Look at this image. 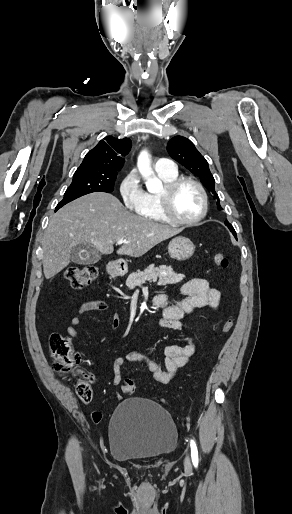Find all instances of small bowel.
<instances>
[{
	"mask_svg": "<svg viewBox=\"0 0 292 514\" xmlns=\"http://www.w3.org/2000/svg\"><path fill=\"white\" fill-rule=\"evenodd\" d=\"M181 293L187 296V299L179 304L169 305L162 308V317L159 320V326L170 330L188 331L189 326L183 321L184 317L201 307H208L212 312H216L220 305V293L217 289L211 287L209 283L201 278H193L185 282L181 287ZM108 304L104 300L94 299L84 302L78 309L77 315L74 316L70 325L66 328V333L71 338H78L80 332L77 327L82 323V316L88 312H106ZM119 317L115 316L113 327L119 325ZM196 346L192 337L188 338L185 345L169 344L165 347V367L159 363L144 359L139 354L132 352L124 357H117L113 361L112 369L114 373L113 384L120 385L122 382V370L126 361H136L142 363L147 369L150 377L156 383L166 385L170 383L178 369L186 366L191 356L195 353ZM115 398L120 402L125 400L123 395L118 391L113 393Z\"/></svg>",
	"mask_w": 292,
	"mask_h": 514,
	"instance_id": "c3829d8e",
	"label": "small bowel"
}]
</instances>
